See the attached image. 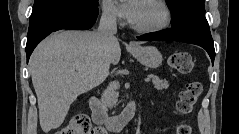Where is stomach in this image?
<instances>
[{"label":"stomach","instance_id":"0dacf381","mask_svg":"<svg viewBox=\"0 0 239 134\" xmlns=\"http://www.w3.org/2000/svg\"><path fill=\"white\" fill-rule=\"evenodd\" d=\"M131 54L144 66L157 68L162 64V54L155 46L130 48Z\"/></svg>","mask_w":239,"mask_h":134}]
</instances>
